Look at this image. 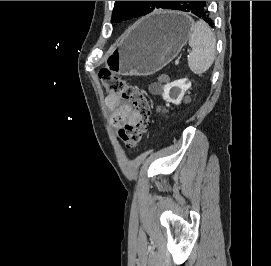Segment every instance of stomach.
Masks as SVG:
<instances>
[{
    "instance_id": "stomach-1",
    "label": "stomach",
    "mask_w": 271,
    "mask_h": 266,
    "mask_svg": "<svg viewBox=\"0 0 271 266\" xmlns=\"http://www.w3.org/2000/svg\"><path fill=\"white\" fill-rule=\"evenodd\" d=\"M193 20L178 11H162L142 19L121 38L105 60L114 73L154 74L171 62L192 33Z\"/></svg>"
}]
</instances>
